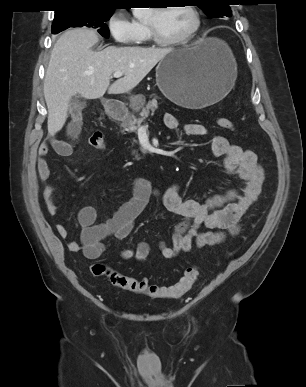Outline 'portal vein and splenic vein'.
I'll return each instance as SVG.
<instances>
[{
	"label": "portal vein and splenic vein",
	"mask_w": 306,
	"mask_h": 387,
	"mask_svg": "<svg viewBox=\"0 0 306 387\" xmlns=\"http://www.w3.org/2000/svg\"><path fill=\"white\" fill-rule=\"evenodd\" d=\"M124 74L122 73V72H115L114 74H113V76L115 77V78H119V77H122Z\"/></svg>",
	"instance_id": "18ae733b"
}]
</instances>
